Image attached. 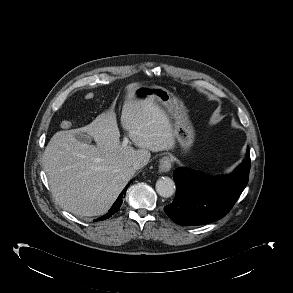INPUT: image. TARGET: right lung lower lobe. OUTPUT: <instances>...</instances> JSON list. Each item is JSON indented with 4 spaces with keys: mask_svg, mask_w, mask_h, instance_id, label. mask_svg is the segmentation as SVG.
Wrapping results in <instances>:
<instances>
[{
    "mask_svg": "<svg viewBox=\"0 0 293 293\" xmlns=\"http://www.w3.org/2000/svg\"><path fill=\"white\" fill-rule=\"evenodd\" d=\"M128 185L126 186V188L123 190V192L119 195V197L117 198V200L115 201V203L113 204L112 208L110 209V211L102 216L101 218L96 219L95 221H101V220H105L108 219L109 217H111L113 214H115L121 207L122 205V198H123V193L126 191Z\"/></svg>",
    "mask_w": 293,
    "mask_h": 293,
    "instance_id": "98d812e1",
    "label": "right lung lower lobe"
}]
</instances>
